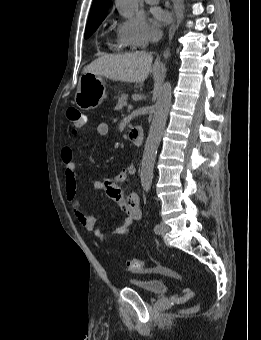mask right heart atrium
<instances>
[{"label": "right heart atrium", "instance_id": "1", "mask_svg": "<svg viewBox=\"0 0 261 340\" xmlns=\"http://www.w3.org/2000/svg\"><path fill=\"white\" fill-rule=\"evenodd\" d=\"M118 33L132 46L141 48L158 35V31L147 22L142 13H136L121 21Z\"/></svg>", "mask_w": 261, "mask_h": 340}]
</instances>
